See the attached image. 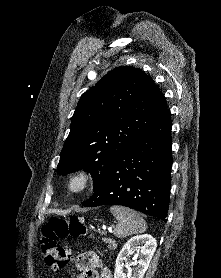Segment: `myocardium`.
<instances>
[{
  "instance_id": "obj_1",
  "label": "myocardium",
  "mask_w": 221,
  "mask_h": 278,
  "mask_svg": "<svg viewBox=\"0 0 221 278\" xmlns=\"http://www.w3.org/2000/svg\"><path fill=\"white\" fill-rule=\"evenodd\" d=\"M93 180V174L86 168L74 170L67 180V190L70 194L79 196L85 193Z\"/></svg>"
}]
</instances>
